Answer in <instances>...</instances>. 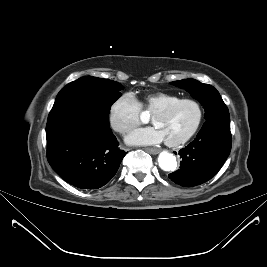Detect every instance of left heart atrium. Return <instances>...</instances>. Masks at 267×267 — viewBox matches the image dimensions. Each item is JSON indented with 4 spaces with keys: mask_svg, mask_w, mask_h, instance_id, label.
Here are the masks:
<instances>
[{
    "mask_svg": "<svg viewBox=\"0 0 267 267\" xmlns=\"http://www.w3.org/2000/svg\"><path fill=\"white\" fill-rule=\"evenodd\" d=\"M163 140H165V137L156 126L137 129L127 137L128 143L137 145L157 144Z\"/></svg>",
    "mask_w": 267,
    "mask_h": 267,
    "instance_id": "39dd6f15",
    "label": "left heart atrium"
}]
</instances>
